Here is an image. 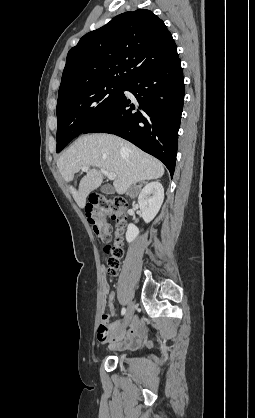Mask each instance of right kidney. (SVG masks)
Instances as JSON below:
<instances>
[{
    "label": "right kidney",
    "mask_w": 255,
    "mask_h": 418,
    "mask_svg": "<svg viewBox=\"0 0 255 418\" xmlns=\"http://www.w3.org/2000/svg\"><path fill=\"white\" fill-rule=\"evenodd\" d=\"M164 200V188L159 182L148 183L138 196V204L141 216L146 223H149L159 212ZM139 229L134 224H129L126 232L128 243L134 241L139 235Z\"/></svg>",
    "instance_id": "obj_1"
}]
</instances>
